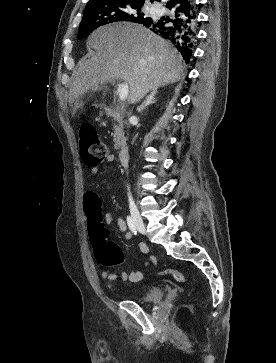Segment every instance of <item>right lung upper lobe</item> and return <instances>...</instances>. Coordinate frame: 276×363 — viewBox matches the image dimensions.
<instances>
[{
    "mask_svg": "<svg viewBox=\"0 0 276 363\" xmlns=\"http://www.w3.org/2000/svg\"><path fill=\"white\" fill-rule=\"evenodd\" d=\"M103 1H112V0H89V2L87 3V6L92 5L94 3L103 2ZM121 1H131V2H138V3H144L145 2V0H121ZM150 1L153 2L154 0H150ZM156 1H161V0H156ZM144 21H148V18H146Z\"/></svg>",
    "mask_w": 276,
    "mask_h": 363,
    "instance_id": "cb5924a9",
    "label": "right lung upper lobe"
}]
</instances>
